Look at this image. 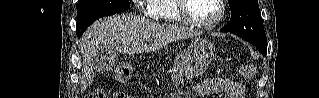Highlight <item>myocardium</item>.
<instances>
[{
    "mask_svg": "<svg viewBox=\"0 0 319 98\" xmlns=\"http://www.w3.org/2000/svg\"><path fill=\"white\" fill-rule=\"evenodd\" d=\"M216 1L220 7V11H219V14L217 15V17L211 21H200V20L193 18L187 11V1L186 0H177L176 5H177V10H178L179 16L181 17V19L183 20L184 23H186L190 26L198 27V28H213L223 20L225 14H226L225 1L224 0H216Z\"/></svg>",
    "mask_w": 319,
    "mask_h": 98,
    "instance_id": "f54148a6",
    "label": "myocardium"
}]
</instances>
